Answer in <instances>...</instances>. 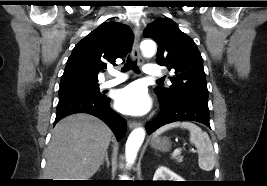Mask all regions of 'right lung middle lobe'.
I'll list each match as a JSON object with an SVG mask.
<instances>
[{
    "instance_id": "obj_1",
    "label": "right lung middle lobe",
    "mask_w": 267,
    "mask_h": 186,
    "mask_svg": "<svg viewBox=\"0 0 267 186\" xmlns=\"http://www.w3.org/2000/svg\"><path fill=\"white\" fill-rule=\"evenodd\" d=\"M72 93H82L88 94L96 97L102 96L99 90V84L93 83H74V84H66L60 85L59 88V97L72 94Z\"/></svg>"
}]
</instances>
